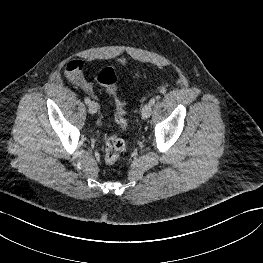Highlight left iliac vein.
Instances as JSON below:
<instances>
[{
	"mask_svg": "<svg viewBox=\"0 0 263 263\" xmlns=\"http://www.w3.org/2000/svg\"><path fill=\"white\" fill-rule=\"evenodd\" d=\"M151 112H152V105L151 104L144 105L141 111L142 118L143 119L149 118L151 115Z\"/></svg>",
	"mask_w": 263,
	"mask_h": 263,
	"instance_id": "1",
	"label": "left iliac vein"
}]
</instances>
